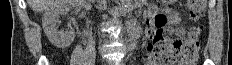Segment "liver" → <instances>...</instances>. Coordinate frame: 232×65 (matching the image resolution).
Returning a JSON list of instances; mask_svg holds the SVG:
<instances>
[{"label":"liver","mask_w":232,"mask_h":65,"mask_svg":"<svg viewBox=\"0 0 232 65\" xmlns=\"http://www.w3.org/2000/svg\"><path fill=\"white\" fill-rule=\"evenodd\" d=\"M58 0H28L29 6L34 12H43L57 3Z\"/></svg>","instance_id":"1"}]
</instances>
